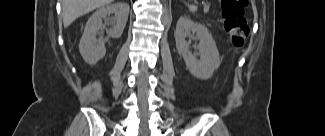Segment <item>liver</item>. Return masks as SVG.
Masks as SVG:
<instances>
[{
    "mask_svg": "<svg viewBox=\"0 0 325 136\" xmlns=\"http://www.w3.org/2000/svg\"><path fill=\"white\" fill-rule=\"evenodd\" d=\"M113 0H61L64 27H68L78 17L103 7Z\"/></svg>",
    "mask_w": 325,
    "mask_h": 136,
    "instance_id": "1",
    "label": "liver"
}]
</instances>
